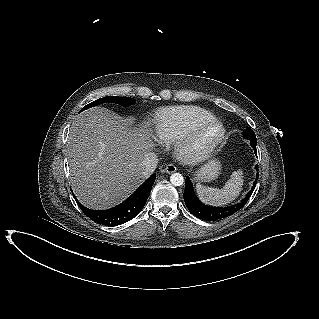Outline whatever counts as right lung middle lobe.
<instances>
[{
	"instance_id": "obj_1",
	"label": "right lung middle lobe",
	"mask_w": 319,
	"mask_h": 319,
	"mask_svg": "<svg viewBox=\"0 0 319 319\" xmlns=\"http://www.w3.org/2000/svg\"><path fill=\"white\" fill-rule=\"evenodd\" d=\"M107 102L120 104L122 106H130L135 102V99L130 98V97H117V96L103 97V98H100L94 102L89 103L88 105L83 107L81 109V111H83L87 108L93 107V106H97V105L102 104V103H107Z\"/></svg>"
}]
</instances>
